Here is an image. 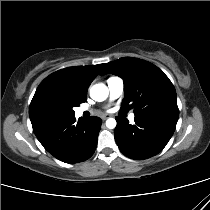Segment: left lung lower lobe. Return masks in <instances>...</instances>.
<instances>
[{"label":"left lung lower lobe","instance_id":"obj_1","mask_svg":"<svg viewBox=\"0 0 210 210\" xmlns=\"http://www.w3.org/2000/svg\"><path fill=\"white\" fill-rule=\"evenodd\" d=\"M115 141L129 158H150L163 150L172 137L177 120L162 117H135V125L116 117Z\"/></svg>","mask_w":210,"mask_h":210}]
</instances>
